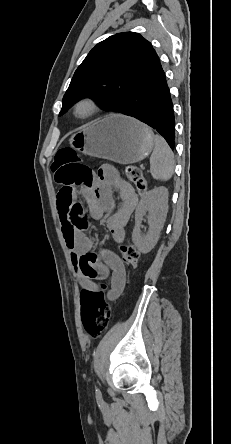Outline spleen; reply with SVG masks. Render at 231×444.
<instances>
[{"label":"spleen","instance_id":"obj_1","mask_svg":"<svg viewBox=\"0 0 231 444\" xmlns=\"http://www.w3.org/2000/svg\"><path fill=\"white\" fill-rule=\"evenodd\" d=\"M154 142V150L150 157V171L153 178L167 181L174 173V154L161 136L155 135Z\"/></svg>","mask_w":231,"mask_h":444}]
</instances>
